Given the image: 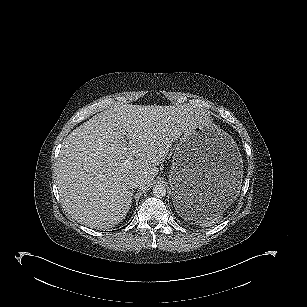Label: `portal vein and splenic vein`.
I'll return each mask as SVG.
<instances>
[{
	"mask_svg": "<svg viewBox=\"0 0 307 307\" xmlns=\"http://www.w3.org/2000/svg\"><path fill=\"white\" fill-rule=\"evenodd\" d=\"M134 159H133V157H128V159H127V162H131V161H133Z\"/></svg>",
	"mask_w": 307,
	"mask_h": 307,
	"instance_id": "18ae733b",
	"label": "portal vein and splenic vein"
}]
</instances>
